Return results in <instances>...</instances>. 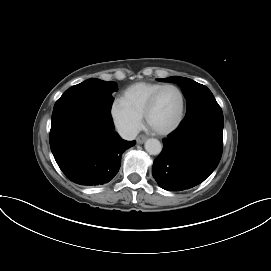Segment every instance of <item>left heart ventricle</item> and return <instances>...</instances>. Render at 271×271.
Here are the masks:
<instances>
[{
    "label": "left heart ventricle",
    "mask_w": 271,
    "mask_h": 271,
    "mask_svg": "<svg viewBox=\"0 0 271 271\" xmlns=\"http://www.w3.org/2000/svg\"><path fill=\"white\" fill-rule=\"evenodd\" d=\"M180 104V96L175 89L164 90L149 116L150 126L157 130L171 126L179 115Z\"/></svg>",
    "instance_id": "1"
}]
</instances>
